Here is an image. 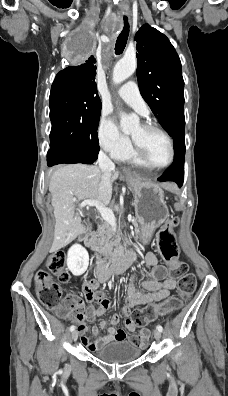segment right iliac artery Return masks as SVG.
<instances>
[{
  "instance_id": "82829eb1",
  "label": "right iliac artery",
  "mask_w": 228,
  "mask_h": 396,
  "mask_svg": "<svg viewBox=\"0 0 228 396\" xmlns=\"http://www.w3.org/2000/svg\"><path fill=\"white\" fill-rule=\"evenodd\" d=\"M74 329H75L74 325L70 326V331H74Z\"/></svg>"
}]
</instances>
